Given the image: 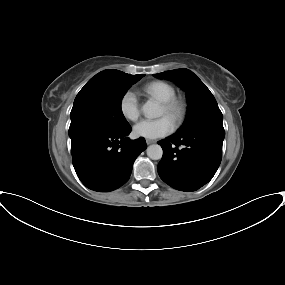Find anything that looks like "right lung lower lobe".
Returning a JSON list of instances; mask_svg holds the SVG:
<instances>
[{"instance_id": "98d812e1", "label": "right lung lower lobe", "mask_w": 285, "mask_h": 285, "mask_svg": "<svg viewBox=\"0 0 285 285\" xmlns=\"http://www.w3.org/2000/svg\"><path fill=\"white\" fill-rule=\"evenodd\" d=\"M131 130L87 127L70 136L73 166L87 188L109 192L128 181L133 162L147 147L144 138H127Z\"/></svg>"}]
</instances>
